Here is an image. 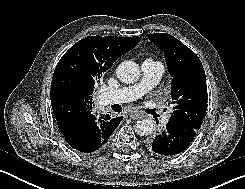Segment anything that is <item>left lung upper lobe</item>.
<instances>
[{"label": "left lung upper lobe", "mask_w": 245, "mask_h": 189, "mask_svg": "<svg viewBox=\"0 0 245 189\" xmlns=\"http://www.w3.org/2000/svg\"><path fill=\"white\" fill-rule=\"evenodd\" d=\"M148 38L164 52L173 78L171 96L174 112L169 122L183 129L198 130L207 108L206 77L200 59L170 34L154 33Z\"/></svg>", "instance_id": "1"}]
</instances>
